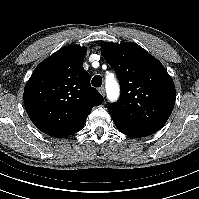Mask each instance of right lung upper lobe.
Wrapping results in <instances>:
<instances>
[{
  "mask_svg": "<svg viewBox=\"0 0 199 199\" xmlns=\"http://www.w3.org/2000/svg\"><path fill=\"white\" fill-rule=\"evenodd\" d=\"M86 48L67 46L41 62L24 90V106L33 124L53 137L80 131L102 95L83 68Z\"/></svg>",
  "mask_w": 199,
  "mask_h": 199,
  "instance_id": "obj_1",
  "label": "right lung upper lobe"
}]
</instances>
